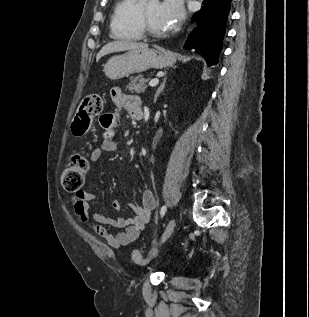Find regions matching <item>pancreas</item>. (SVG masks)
Masks as SVG:
<instances>
[{"label": "pancreas", "instance_id": "pancreas-1", "mask_svg": "<svg viewBox=\"0 0 309 317\" xmlns=\"http://www.w3.org/2000/svg\"><path fill=\"white\" fill-rule=\"evenodd\" d=\"M148 79L142 77H131L127 89L131 93H143L147 87Z\"/></svg>", "mask_w": 309, "mask_h": 317}]
</instances>
